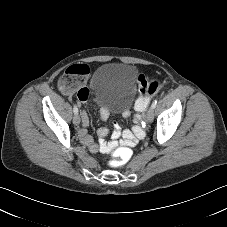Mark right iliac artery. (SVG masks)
<instances>
[{
	"instance_id": "obj_1",
	"label": "right iliac artery",
	"mask_w": 227,
	"mask_h": 227,
	"mask_svg": "<svg viewBox=\"0 0 227 227\" xmlns=\"http://www.w3.org/2000/svg\"><path fill=\"white\" fill-rule=\"evenodd\" d=\"M73 112H74V114H75V115H77V114H78V108H77V106H74V108H73Z\"/></svg>"
}]
</instances>
